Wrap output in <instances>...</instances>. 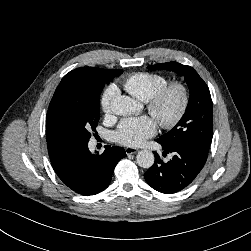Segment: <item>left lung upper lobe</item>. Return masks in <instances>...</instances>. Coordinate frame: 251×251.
<instances>
[{"instance_id": "1", "label": "left lung upper lobe", "mask_w": 251, "mask_h": 251, "mask_svg": "<svg viewBox=\"0 0 251 251\" xmlns=\"http://www.w3.org/2000/svg\"><path fill=\"white\" fill-rule=\"evenodd\" d=\"M149 69H165L183 75L190 89V98L181 120L157 140L162 146L191 144L208 153L213 131V104L210 91L198 73L177 62L159 63Z\"/></svg>"}]
</instances>
